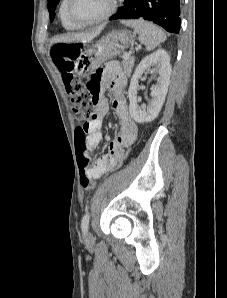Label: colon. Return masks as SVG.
I'll use <instances>...</instances> for the list:
<instances>
[{"label":"colon","mask_w":227,"mask_h":298,"mask_svg":"<svg viewBox=\"0 0 227 298\" xmlns=\"http://www.w3.org/2000/svg\"><path fill=\"white\" fill-rule=\"evenodd\" d=\"M81 50L80 44L59 42L52 47V58L62 75L65 88L71 96L73 112L81 124L75 133V146L81 168L80 183L83 188L91 189L94 186V180L87 170L92 167L93 162L87 156V130H84L83 126L89 125V117H95L90 114V111L95 110L96 103H90L91 92H87V87H83L73 75L75 62L80 56Z\"/></svg>","instance_id":"obj_1"}]
</instances>
